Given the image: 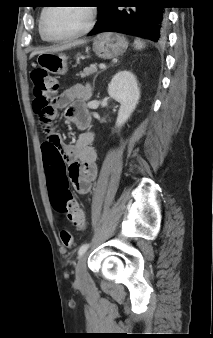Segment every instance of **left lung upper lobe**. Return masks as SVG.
I'll use <instances>...</instances> for the list:
<instances>
[{
	"mask_svg": "<svg viewBox=\"0 0 213 338\" xmlns=\"http://www.w3.org/2000/svg\"><path fill=\"white\" fill-rule=\"evenodd\" d=\"M100 2H101V0H98V1H97L98 9H99V7H100ZM34 8H35V7H34Z\"/></svg>",
	"mask_w": 213,
	"mask_h": 338,
	"instance_id": "5c2ea615",
	"label": "left lung upper lobe"
}]
</instances>
